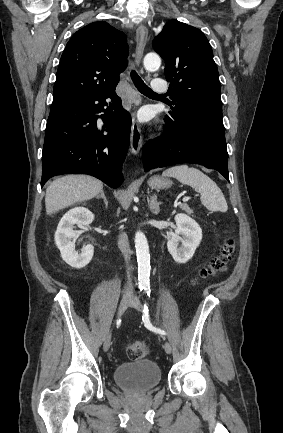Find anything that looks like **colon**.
<instances>
[{"label":"colon","instance_id":"5ec220e1","mask_svg":"<svg viewBox=\"0 0 283 433\" xmlns=\"http://www.w3.org/2000/svg\"><path fill=\"white\" fill-rule=\"evenodd\" d=\"M235 252L236 243L234 239L226 237L220 253L199 271L198 278L208 279L226 271L233 260ZM125 352L131 359H142L150 353V345L143 340L130 341L125 346Z\"/></svg>","mask_w":283,"mask_h":433}]
</instances>
